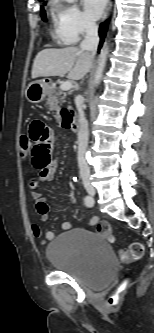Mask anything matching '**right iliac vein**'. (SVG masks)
<instances>
[{
	"label": "right iliac vein",
	"instance_id": "63e3f726",
	"mask_svg": "<svg viewBox=\"0 0 154 333\" xmlns=\"http://www.w3.org/2000/svg\"><path fill=\"white\" fill-rule=\"evenodd\" d=\"M82 181H83V185H84L86 191L88 192V194L93 197L95 195L96 191H95V188L93 187V185L91 184L89 178L83 177Z\"/></svg>",
	"mask_w": 154,
	"mask_h": 333
}]
</instances>
